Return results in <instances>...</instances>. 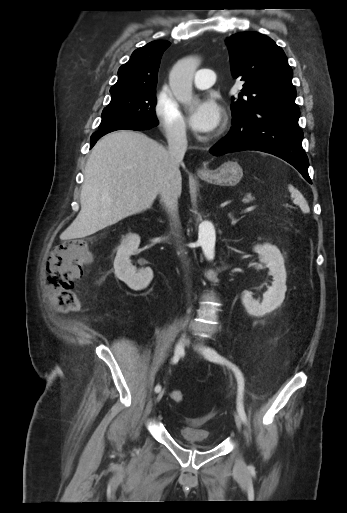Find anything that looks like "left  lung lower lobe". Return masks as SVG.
<instances>
[{"label":"left lung lower lobe","mask_w":347,"mask_h":513,"mask_svg":"<svg viewBox=\"0 0 347 513\" xmlns=\"http://www.w3.org/2000/svg\"><path fill=\"white\" fill-rule=\"evenodd\" d=\"M300 110L293 104H267L233 117L229 134L210 152L223 155L257 150L275 155L293 165L311 183L308 158L302 148L303 133L298 125Z\"/></svg>","instance_id":"1"}]
</instances>
